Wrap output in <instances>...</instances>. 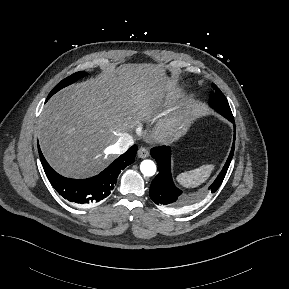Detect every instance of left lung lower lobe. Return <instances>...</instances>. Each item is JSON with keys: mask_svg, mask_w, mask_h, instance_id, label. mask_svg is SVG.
<instances>
[{"mask_svg": "<svg viewBox=\"0 0 289 289\" xmlns=\"http://www.w3.org/2000/svg\"><path fill=\"white\" fill-rule=\"evenodd\" d=\"M226 117V116H224ZM234 125L235 124L233 115L226 117ZM235 148V134L231 152L229 157L219 173L215 181L208 188L209 192L215 193L220 187L221 183L224 180V177L229 168L230 162L233 157ZM151 155L156 160L158 164L159 173L155 176L151 183L150 187V197L151 199L159 206H162L168 210H174L185 205H188L191 199H188L185 195H182V191L178 189L172 180L171 171H170V148L168 146H159L151 149Z\"/></svg>", "mask_w": 289, "mask_h": 289, "instance_id": "0a47b994", "label": "left lung lower lobe"}]
</instances>
